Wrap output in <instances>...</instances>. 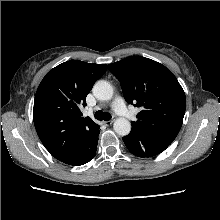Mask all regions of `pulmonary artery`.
<instances>
[{
	"mask_svg": "<svg viewBox=\"0 0 220 220\" xmlns=\"http://www.w3.org/2000/svg\"><path fill=\"white\" fill-rule=\"evenodd\" d=\"M112 107L119 116H122V117H125V118H130L129 112H128V110H127V108H126V106H125V104H124L121 97L117 96L113 100Z\"/></svg>",
	"mask_w": 220,
	"mask_h": 220,
	"instance_id": "e3ab8cb5",
	"label": "pulmonary artery"
}]
</instances>
